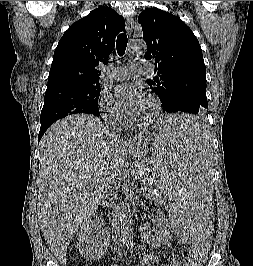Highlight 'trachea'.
Returning a JSON list of instances; mask_svg holds the SVG:
<instances>
[{
    "mask_svg": "<svg viewBox=\"0 0 253 266\" xmlns=\"http://www.w3.org/2000/svg\"><path fill=\"white\" fill-rule=\"evenodd\" d=\"M127 42L128 39L126 33H121L118 35L116 40V49L119 56H123L125 54Z\"/></svg>",
    "mask_w": 253,
    "mask_h": 266,
    "instance_id": "trachea-1",
    "label": "trachea"
}]
</instances>
